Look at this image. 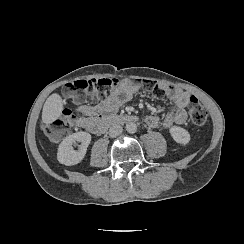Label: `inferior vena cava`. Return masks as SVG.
I'll return each mask as SVG.
<instances>
[{"mask_svg":"<svg viewBox=\"0 0 244 244\" xmlns=\"http://www.w3.org/2000/svg\"><path fill=\"white\" fill-rule=\"evenodd\" d=\"M122 131H123L122 126L115 124L109 128V135H110V137L114 138V137L119 136L122 133Z\"/></svg>","mask_w":244,"mask_h":244,"instance_id":"602c4592","label":"inferior vena cava"}]
</instances>
